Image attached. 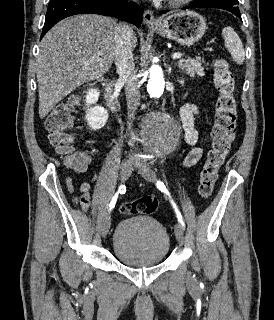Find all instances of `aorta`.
Masks as SVG:
<instances>
[{"label":"aorta","mask_w":274,"mask_h":320,"mask_svg":"<svg viewBox=\"0 0 274 320\" xmlns=\"http://www.w3.org/2000/svg\"><path fill=\"white\" fill-rule=\"evenodd\" d=\"M149 80L147 91L151 98L163 97L165 78L160 66L152 64L148 70ZM145 146L146 149L156 155L169 152L178 137L179 127L170 116L163 112L150 113L145 121Z\"/></svg>","instance_id":"1"}]
</instances>
